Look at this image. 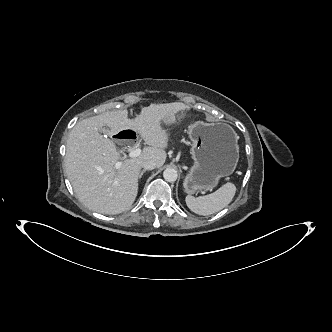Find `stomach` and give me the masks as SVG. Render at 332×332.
Wrapping results in <instances>:
<instances>
[{
	"mask_svg": "<svg viewBox=\"0 0 332 332\" xmlns=\"http://www.w3.org/2000/svg\"><path fill=\"white\" fill-rule=\"evenodd\" d=\"M176 116L181 119L185 114L181 111ZM188 134L192 140L193 164L183 186L188 195H193L199 190H212L222 177L235 171L239 146L235 131L225 123L196 122L188 127Z\"/></svg>",
	"mask_w": 332,
	"mask_h": 332,
	"instance_id": "stomach-1",
	"label": "stomach"
}]
</instances>
